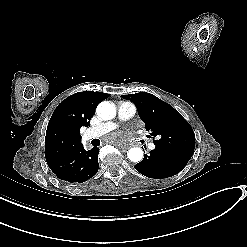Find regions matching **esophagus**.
<instances>
[{
  "instance_id": "34e87169",
  "label": "esophagus",
  "mask_w": 247,
  "mask_h": 247,
  "mask_svg": "<svg viewBox=\"0 0 247 247\" xmlns=\"http://www.w3.org/2000/svg\"><path fill=\"white\" fill-rule=\"evenodd\" d=\"M122 150H127V149H129L131 146L130 145H120L119 146Z\"/></svg>"
}]
</instances>
